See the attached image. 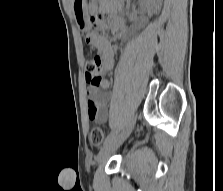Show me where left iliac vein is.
<instances>
[{"instance_id":"obj_1","label":"left iliac vein","mask_w":223,"mask_h":191,"mask_svg":"<svg viewBox=\"0 0 223 191\" xmlns=\"http://www.w3.org/2000/svg\"><path fill=\"white\" fill-rule=\"evenodd\" d=\"M135 122L136 116H132L123 130L101 148L96 159L99 164L107 161L111 154L128 138L135 126Z\"/></svg>"}]
</instances>
